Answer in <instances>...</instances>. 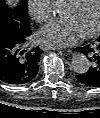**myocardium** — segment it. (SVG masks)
<instances>
[{
  "mask_svg": "<svg viewBox=\"0 0 100 118\" xmlns=\"http://www.w3.org/2000/svg\"><path fill=\"white\" fill-rule=\"evenodd\" d=\"M84 0H70V4L74 5V6H79ZM100 32V0H99V17H98V22L95 26V28H93L91 31L83 33V36L86 38H92L95 37L96 35H98V33Z\"/></svg>",
  "mask_w": 100,
  "mask_h": 118,
  "instance_id": "myocardium-1",
  "label": "myocardium"
}]
</instances>
